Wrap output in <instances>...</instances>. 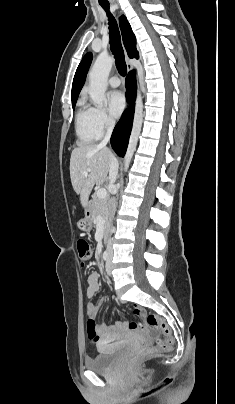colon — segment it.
Masks as SVG:
<instances>
[{"label":"colon","mask_w":235,"mask_h":404,"mask_svg":"<svg viewBox=\"0 0 235 404\" xmlns=\"http://www.w3.org/2000/svg\"><path fill=\"white\" fill-rule=\"evenodd\" d=\"M77 251L82 264L88 261L92 254L91 247L85 240H79L77 242ZM133 312L140 319L138 321L131 322L129 327L152 334H157L158 331H161L164 334V338L157 337L154 349L157 351H168L173 343L168 324L157 314L145 313L139 307L134 308ZM88 324L91 328H93V321L88 322ZM88 334L90 338H96L93 331H88ZM129 360L131 361L133 358H130Z\"/></svg>","instance_id":"obj_1"}]
</instances>
